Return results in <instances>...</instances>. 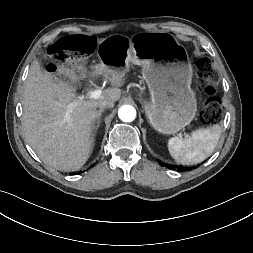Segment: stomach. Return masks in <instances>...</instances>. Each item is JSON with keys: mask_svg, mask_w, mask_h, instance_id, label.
<instances>
[{"mask_svg": "<svg viewBox=\"0 0 253 253\" xmlns=\"http://www.w3.org/2000/svg\"><path fill=\"white\" fill-rule=\"evenodd\" d=\"M100 63L94 66L127 72L142 67L150 100L142 101L152 127L174 134L195 117L197 100L191 89L192 66L184 48L168 33L140 34L134 38L111 35L97 45Z\"/></svg>", "mask_w": 253, "mask_h": 253, "instance_id": "0dacf381", "label": "stomach"}]
</instances>
